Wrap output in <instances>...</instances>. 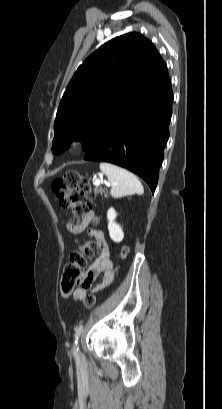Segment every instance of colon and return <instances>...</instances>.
Returning a JSON list of instances; mask_svg holds the SVG:
<instances>
[{
  "label": "colon",
  "mask_w": 222,
  "mask_h": 409,
  "mask_svg": "<svg viewBox=\"0 0 222 409\" xmlns=\"http://www.w3.org/2000/svg\"><path fill=\"white\" fill-rule=\"evenodd\" d=\"M52 191L58 199L59 205L70 210L77 219H83L89 212L86 204L79 202L75 193L85 199L92 200L96 193L89 180L75 171H68L63 176L56 178L52 182ZM96 248L93 241H87L79 250L73 252L70 262L65 266L60 282V290L64 296H69L76 287L77 274L82 272L87 265V257L90 256ZM128 248L123 247L121 258H126ZM78 272V273H77ZM96 297L87 295L85 298V307L88 310L94 306Z\"/></svg>",
  "instance_id": "1"
}]
</instances>
